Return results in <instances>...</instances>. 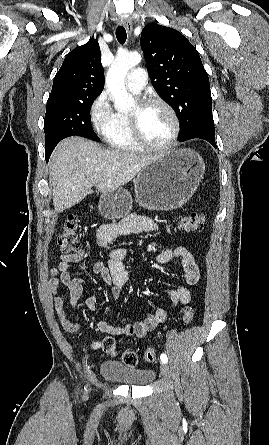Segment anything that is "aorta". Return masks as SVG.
<instances>
[{
  "mask_svg": "<svg viewBox=\"0 0 269 445\" xmlns=\"http://www.w3.org/2000/svg\"><path fill=\"white\" fill-rule=\"evenodd\" d=\"M141 60L142 57L137 52L120 54L107 72L106 87L118 111L128 110L134 106V98L125 88V76L129 69L138 65Z\"/></svg>",
  "mask_w": 269,
  "mask_h": 445,
  "instance_id": "aorta-1",
  "label": "aorta"
}]
</instances>
